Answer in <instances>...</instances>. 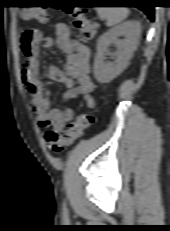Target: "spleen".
<instances>
[{
  "mask_svg": "<svg viewBox=\"0 0 170 231\" xmlns=\"http://www.w3.org/2000/svg\"><path fill=\"white\" fill-rule=\"evenodd\" d=\"M101 19L107 20V26H114L127 18L129 10L126 7H97Z\"/></svg>",
  "mask_w": 170,
  "mask_h": 231,
  "instance_id": "obj_1",
  "label": "spleen"
}]
</instances>
